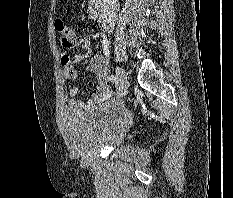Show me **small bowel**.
Instances as JSON below:
<instances>
[{
    "mask_svg": "<svg viewBox=\"0 0 233 198\" xmlns=\"http://www.w3.org/2000/svg\"><path fill=\"white\" fill-rule=\"evenodd\" d=\"M74 45H78L81 48V52L70 55L67 50L72 48ZM74 45L72 47H64L62 44L63 51L61 52V63L64 67L65 77L69 80L77 82L78 72L75 68V64L89 58L91 53L89 36L83 35L75 39ZM86 69L87 71L93 72L96 75L98 80L97 91L89 100L83 102L75 98L79 92V87L77 85L73 86L69 91L71 97L69 107L72 110H91L98 104L111 99L113 95L112 88L107 80L105 60L101 55H93L90 57Z\"/></svg>",
    "mask_w": 233,
    "mask_h": 198,
    "instance_id": "obj_1",
    "label": "small bowel"
}]
</instances>
